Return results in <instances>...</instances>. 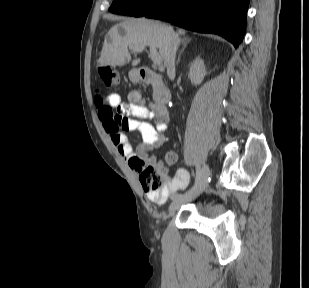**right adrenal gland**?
Here are the masks:
<instances>
[{
	"mask_svg": "<svg viewBox=\"0 0 309 288\" xmlns=\"http://www.w3.org/2000/svg\"><path fill=\"white\" fill-rule=\"evenodd\" d=\"M190 41H191V38H184L183 40H181V43H182L183 47H182L181 51L178 54V59H177L176 65L179 64L180 58H181V54L183 53V51L185 50V48L187 47V45H188V43Z\"/></svg>",
	"mask_w": 309,
	"mask_h": 288,
	"instance_id": "1",
	"label": "right adrenal gland"
}]
</instances>
